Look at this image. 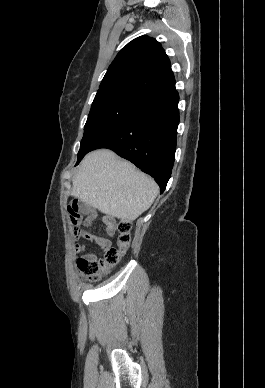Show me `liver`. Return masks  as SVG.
<instances>
[{"mask_svg":"<svg viewBox=\"0 0 265 388\" xmlns=\"http://www.w3.org/2000/svg\"><path fill=\"white\" fill-rule=\"evenodd\" d=\"M72 182V196L129 224L149 210L159 192L153 178L110 150L87 154Z\"/></svg>","mask_w":265,"mask_h":388,"instance_id":"obj_1","label":"liver"}]
</instances>
